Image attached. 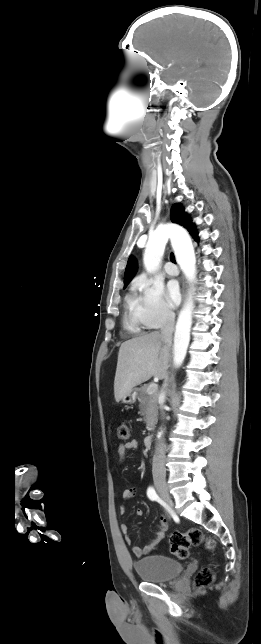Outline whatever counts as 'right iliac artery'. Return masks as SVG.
I'll return each mask as SVG.
<instances>
[{"mask_svg": "<svg viewBox=\"0 0 261 644\" xmlns=\"http://www.w3.org/2000/svg\"><path fill=\"white\" fill-rule=\"evenodd\" d=\"M147 496L152 501L157 500V498H158V495H157V493H156V491H155V489L153 487H149L147 489Z\"/></svg>", "mask_w": 261, "mask_h": 644, "instance_id": "82829eb1", "label": "right iliac artery"}]
</instances>
